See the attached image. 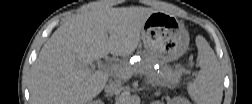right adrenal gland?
Instances as JSON below:
<instances>
[{"mask_svg":"<svg viewBox=\"0 0 252 104\" xmlns=\"http://www.w3.org/2000/svg\"><path fill=\"white\" fill-rule=\"evenodd\" d=\"M104 97H107V98H108V97H110V95H109V94H105Z\"/></svg>","mask_w":252,"mask_h":104,"instance_id":"1","label":"right adrenal gland"}]
</instances>
